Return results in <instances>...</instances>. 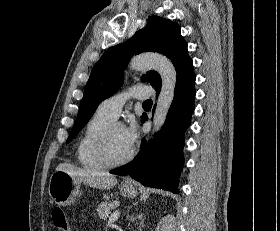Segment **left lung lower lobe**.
I'll return each mask as SVG.
<instances>
[{
	"label": "left lung lower lobe",
	"mask_w": 280,
	"mask_h": 231,
	"mask_svg": "<svg viewBox=\"0 0 280 231\" xmlns=\"http://www.w3.org/2000/svg\"><path fill=\"white\" fill-rule=\"evenodd\" d=\"M195 79L191 65L177 78L174 99L161 131L149 142L142 140L141 150L132 162L110 173L129 175L145 186L178 193V178L184 163V133L194 111ZM145 120L142 115V121Z\"/></svg>",
	"instance_id": "1"
}]
</instances>
